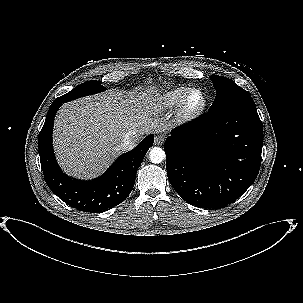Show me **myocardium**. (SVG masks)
Here are the masks:
<instances>
[{
    "label": "myocardium",
    "mask_w": 303,
    "mask_h": 303,
    "mask_svg": "<svg viewBox=\"0 0 303 303\" xmlns=\"http://www.w3.org/2000/svg\"><path fill=\"white\" fill-rule=\"evenodd\" d=\"M194 94H199L200 96V102L197 105L191 104V98ZM206 103V95L202 89H190L179 104V108L177 111L178 119L183 122H189L194 120L204 111Z\"/></svg>",
    "instance_id": "1"
}]
</instances>
